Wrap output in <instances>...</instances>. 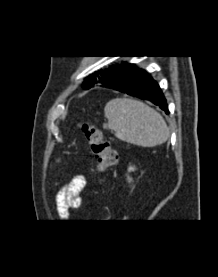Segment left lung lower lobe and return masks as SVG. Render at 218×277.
I'll return each mask as SVG.
<instances>
[{"instance_id":"left-lung-lower-lobe-1","label":"left lung lower lobe","mask_w":218,"mask_h":277,"mask_svg":"<svg viewBox=\"0 0 218 277\" xmlns=\"http://www.w3.org/2000/svg\"><path fill=\"white\" fill-rule=\"evenodd\" d=\"M101 84L131 96L146 99L159 106L167 114L168 106L159 85L144 70L128 64L122 69L113 72Z\"/></svg>"}]
</instances>
